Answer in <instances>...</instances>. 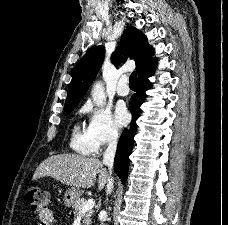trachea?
Wrapping results in <instances>:
<instances>
[{
	"label": "trachea",
	"mask_w": 228,
	"mask_h": 225,
	"mask_svg": "<svg viewBox=\"0 0 228 225\" xmlns=\"http://www.w3.org/2000/svg\"><path fill=\"white\" fill-rule=\"evenodd\" d=\"M136 80H137L136 72H133V73L130 75V79H129V87H130V88H136V87H137Z\"/></svg>",
	"instance_id": "trachea-1"
}]
</instances>
